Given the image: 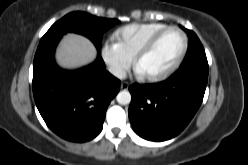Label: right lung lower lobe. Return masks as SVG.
Here are the masks:
<instances>
[{"label": "right lung lower lobe", "mask_w": 248, "mask_h": 165, "mask_svg": "<svg viewBox=\"0 0 248 165\" xmlns=\"http://www.w3.org/2000/svg\"><path fill=\"white\" fill-rule=\"evenodd\" d=\"M60 38L41 42L37 48L33 63L35 103L54 133L69 141H89L101 132L120 81L105 70L100 55L80 70L60 69L54 61Z\"/></svg>", "instance_id": "1"}]
</instances>
